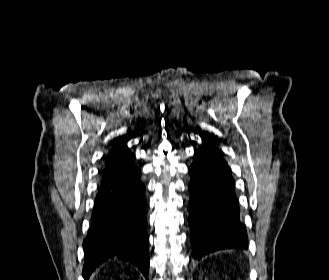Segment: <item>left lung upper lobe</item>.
I'll return each mask as SVG.
<instances>
[{
  "mask_svg": "<svg viewBox=\"0 0 329 280\" xmlns=\"http://www.w3.org/2000/svg\"><path fill=\"white\" fill-rule=\"evenodd\" d=\"M202 138L204 140V143L199 148H201L204 145H212L211 141L208 138H206V137H202Z\"/></svg>",
  "mask_w": 329,
  "mask_h": 280,
  "instance_id": "5c2ea615",
  "label": "left lung upper lobe"
}]
</instances>
